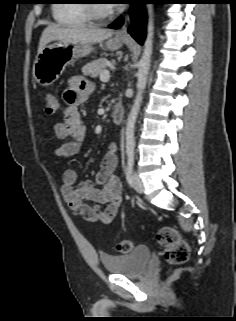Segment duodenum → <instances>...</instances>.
Returning a JSON list of instances; mask_svg holds the SVG:
<instances>
[{
  "label": "duodenum",
  "instance_id": "duodenum-1",
  "mask_svg": "<svg viewBox=\"0 0 236 321\" xmlns=\"http://www.w3.org/2000/svg\"><path fill=\"white\" fill-rule=\"evenodd\" d=\"M111 117L115 124H122L124 120V111L122 107L119 105L114 106L112 109Z\"/></svg>",
  "mask_w": 236,
  "mask_h": 321
}]
</instances>
